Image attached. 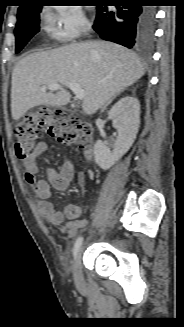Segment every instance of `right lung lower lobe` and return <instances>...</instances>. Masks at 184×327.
I'll return each instance as SVG.
<instances>
[{
  "instance_id": "right-lung-lower-lobe-1",
  "label": "right lung lower lobe",
  "mask_w": 184,
  "mask_h": 327,
  "mask_svg": "<svg viewBox=\"0 0 184 327\" xmlns=\"http://www.w3.org/2000/svg\"><path fill=\"white\" fill-rule=\"evenodd\" d=\"M140 3L139 0H127L123 6L117 5L114 12L106 6H97L94 30L102 39L128 48L148 47L155 32V10Z\"/></svg>"
}]
</instances>
